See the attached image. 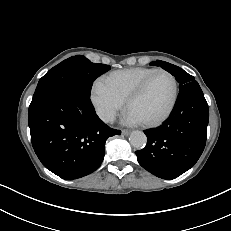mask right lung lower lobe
Here are the masks:
<instances>
[{
  "instance_id": "98d812e1",
  "label": "right lung lower lobe",
  "mask_w": 231,
  "mask_h": 231,
  "mask_svg": "<svg viewBox=\"0 0 231 231\" xmlns=\"http://www.w3.org/2000/svg\"><path fill=\"white\" fill-rule=\"evenodd\" d=\"M28 123L41 163L66 180L94 172L103 161L107 138L121 133L100 120L90 96L69 87L31 103Z\"/></svg>"
}]
</instances>
